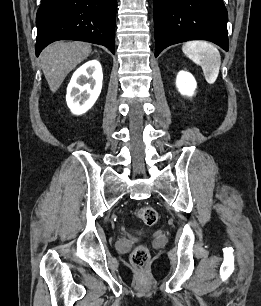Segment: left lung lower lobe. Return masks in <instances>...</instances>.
<instances>
[{
  "label": "left lung lower lobe",
  "instance_id": "1",
  "mask_svg": "<svg viewBox=\"0 0 261 306\" xmlns=\"http://www.w3.org/2000/svg\"><path fill=\"white\" fill-rule=\"evenodd\" d=\"M155 56L166 47L195 39L228 51V14L222 0H154Z\"/></svg>",
  "mask_w": 261,
  "mask_h": 306
}]
</instances>
